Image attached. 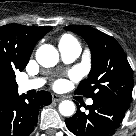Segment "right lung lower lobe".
Returning <instances> with one entry per match:
<instances>
[{
    "label": "right lung lower lobe",
    "instance_id": "obj_1",
    "mask_svg": "<svg viewBox=\"0 0 136 136\" xmlns=\"http://www.w3.org/2000/svg\"><path fill=\"white\" fill-rule=\"evenodd\" d=\"M51 102L46 91L33 98L16 93L0 99V136H28L37 123L38 110Z\"/></svg>",
    "mask_w": 136,
    "mask_h": 136
}]
</instances>
